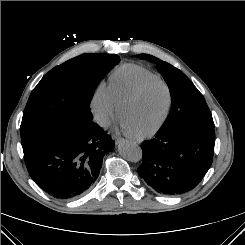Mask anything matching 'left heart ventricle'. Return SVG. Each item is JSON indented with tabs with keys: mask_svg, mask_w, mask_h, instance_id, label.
<instances>
[{
	"mask_svg": "<svg viewBox=\"0 0 245 245\" xmlns=\"http://www.w3.org/2000/svg\"><path fill=\"white\" fill-rule=\"evenodd\" d=\"M166 101L164 86L159 82H152L144 88L137 99L123 108L122 117L135 133L145 132L160 120Z\"/></svg>",
	"mask_w": 245,
	"mask_h": 245,
	"instance_id": "1",
	"label": "left heart ventricle"
}]
</instances>
